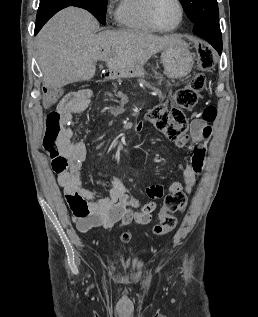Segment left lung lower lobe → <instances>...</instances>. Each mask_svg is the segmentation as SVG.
<instances>
[{
	"label": "left lung lower lobe",
	"mask_w": 258,
	"mask_h": 317,
	"mask_svg": "<svg viewBox=\"0 0 258 317\" xmlns=\"http://www.w3.org/2000/svg\"><path fill=\"white\" fill-rule=\"evenodd\" d=\"M194 34L208 41L221 55L222 52V37L220 28L212 26L194 27Z\"/></svg>",
	"instance_id": "0a47b994"
}]
</instances>
